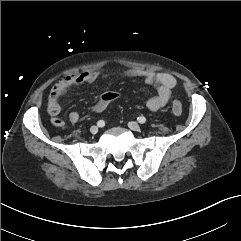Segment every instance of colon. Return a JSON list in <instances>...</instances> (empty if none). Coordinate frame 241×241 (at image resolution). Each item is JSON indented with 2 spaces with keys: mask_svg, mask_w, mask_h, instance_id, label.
Here are the masks:
<instances>
[{
  "mask_svg": "<svg viewBox=\"0 0 241 241\" xmlns=\"http://www.w3.org/2000/svg\"><path fill=\"white\" fill-rule=\"evenodd\" d=\"M101 99L104 101V102H107V101H114V102H117L119 99H120V96L118 93H114V92H104L102 95H101ZM171 110L172 112L175 114V115H180L182 113V110H183V106H182V103L178 100H174L172 102V105H171Z\"/></svg>",
  "mask_w": 241,
  "mask_h": 241,
  "instance_id": "5ec220e1",
  "label": "colon"
}]
</instances>
